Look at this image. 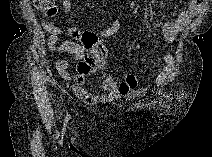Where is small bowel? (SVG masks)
<instances>
[{"label": "small bowel", "mask_w": 212, "mask_h": 157, "mask_svg": "<svg viewBox=\"0 0 212 157\" xmlns=\"http://www.w3.org/2000/svg\"><path fill=\"white\" fill-rule=\"evenodd\" d=\"M61 6L64 13H72L73 6L71 0H63ZM200 7V1H189L174 20L167 21L163 24L162 33L167 43L172 44L176 41L179 33L190 24L194 16L199 12ZM42 23L44 29L49 33L47 40L49 49L53 52H63L73 55L72 60H58L56 70L63 79L73 81V90L81 100L88 104H97L110 102L118 97H131L144 92L143 88L138 87L137 77L132 74L126 76L121 82H117L112 74H108L103 80L104 93L87 90L68 71V68L74 62L79 61L83 57L81 48L71 42H59L60 36L65 34V31L45 20ZM119 29L120 23L113 21L109 27L97 30L96 33L102 37H111L117 34ZM162 60L164 68L155 79L157 86H164L171 79L175 71V62L171 54H165Z\"/></svg>", "instance_id": "1"}]
</instances>
